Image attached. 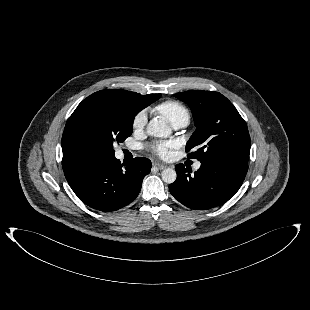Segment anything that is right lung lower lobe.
Masks as SVG:
<instances>
[{
  "label": "right lung lower lobe",
  "mask_w": 310,
  "mask_h": 310,
  "mask_svg": "<svg viewBox=\"0 0 310 310\" xmlns=\"http://www.w3.org/2000/svg\"><path fill=\"white\" fill-rule=\"evenodd\" d=\"M149 159L136 157L126 165L111 153L63 156L65 177L77 197L91 208L109 212L131 203L150 172Z\"/></svg>",
  "instance_id": "98d812e1"
}]
</instances>
